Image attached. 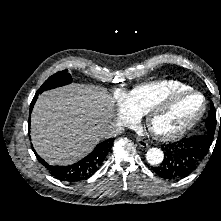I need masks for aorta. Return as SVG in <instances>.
<instances>
[{
  "label": "aorta",
  "mask_w": 221,
  "mask_h": 221,
  "mask_svg": "<svg viewBox=\"0 0 221 221\" xmlns=\"http://www.w3.org/2000/svg\"><path fill=\"white\" fill-rule=\"evenodd\" d=\"M164 159V154L159 148H150L146 153V160L151 165H158Z\"/></svg>",
  "instance_id": "aorta-1"
}]
</instances>
